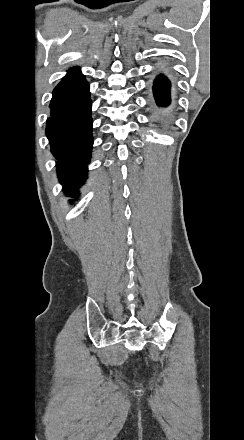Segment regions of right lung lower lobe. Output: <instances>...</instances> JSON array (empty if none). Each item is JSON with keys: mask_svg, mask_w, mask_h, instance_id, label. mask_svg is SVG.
I'll return each instance as SVG.
<instances>
[{"mask_svg": "<svg viewBox=\"0 0 244 440\" xmlns=\"http://www.w3.org/2000/svg\"><path fill=\"white\" fill-rule=\"evenodd\" d=\"M50 108L46 135L58 160L60 181L75 196L86 178L93 144L89 85L78 67L54 89Z\"/></svg>", "mask_w": 244, "mask_h": 440, "instance_id": "right-lung-lower-lobe-1", "label": "right lung lower lobe"}]
</instances>
